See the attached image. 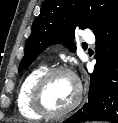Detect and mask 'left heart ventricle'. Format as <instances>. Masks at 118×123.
Returning a JSON list of instances; mask_svg holds the SVG:
<instances>
[{"label":"left heart ventricle","mask_w":118,"mask_h":123,"mask_svg":"<svg viewBox=\"0 0 118 123\" xmlns=\"http://www.w3.org/2000/svg\"><path fill=\"white\" fill-rule=\"evenodd\" d=\"M76 97V84L73 79L65 74H57L48 82L44 92V102L54 111L68 107Z\"/></svg>","instance_id":"1"}]
</instances>
